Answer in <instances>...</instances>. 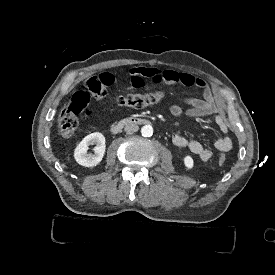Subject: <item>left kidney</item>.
<instances>
[{"instance_id":"left-kidney-1","label":"left kidney","mask_w":275,"mask_h":275,"mask_svg":"<svg viewBox=\"0 0 275 275\" xmlns=\"http://www.w3.org/2000/svg\"><path fill=\"white\" fill-rule=\"evenodd\" d=\"M184 164H185V166H186L188 169L193 168L194 163H193L192 157L186 156V157L184 158Z\"/></svg>"}]
</instances>
